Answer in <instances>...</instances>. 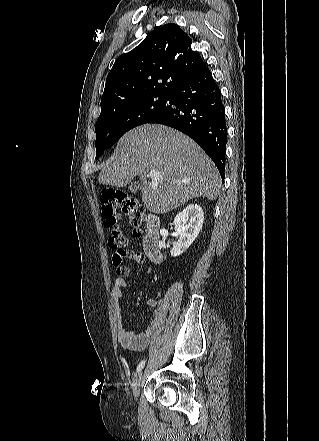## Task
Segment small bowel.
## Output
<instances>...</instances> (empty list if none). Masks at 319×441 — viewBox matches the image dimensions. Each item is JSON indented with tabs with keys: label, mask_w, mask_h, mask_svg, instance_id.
<instances>
[{
	"label": "small bowel",
	"mask_w": 319,
	"mask_h": 441,
	"mask_svg": "<svg viewBox=\"0 0 319 441\" xmlns=\"http://www.w3.org/2000/svg\"><path fill=\"white\" fill-rule=\"evenodd\" d=\"M126 257L132 260L136 264H143L146 256L140 251L130 250L127 252ZM116 278L111 288V301L113 306V313L117 329V337L121 346L129 351H144L154 334L155 315L153 314L147 325L138 333L128 332L125 330L122 324V313L120 307V301L122 298V291L126 286V278L129 275V268L122 265V263L116 265ZM147 306L156 310L159 302L155 298H149L146 302Z\"/></svg>",
	"instance_id": "obj_1"
}]
</instances>
